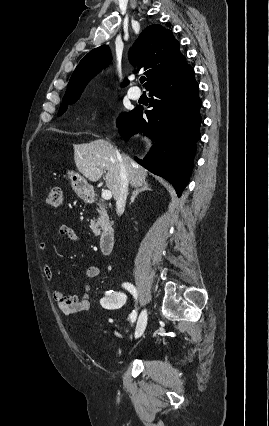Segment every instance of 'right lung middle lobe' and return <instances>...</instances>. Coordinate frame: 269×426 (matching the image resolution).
Wrapping results in <instances>:
<instances>
[{"instance_id":"obj_1","label":"right lung middle lobe","mask_w":269,"mask_h":426,"mask_svg":"<svg viewBox=\"0 0 269 426\" xmlns=\"http://www.w3.org/2000/svg\"><path fill=\"white\" fill-rule=\"evenodd\" d=\"M79 97L80 96H78V97H72V98H66V99H63L62 100V104H61V106H60V110H59V113H58V115L60 116V115H62L65 111H66V109H67V107H68V105L69 104H73L74 102H76L78 99H79ZM127 115V113H122L121 115H120V117L118 118V120H117V126L122 122V120L125 118V116Z\"/></svg>"}]
</instances>
